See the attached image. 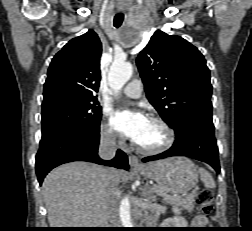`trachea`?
<instances>
[{
    "label": "trachea",
    "mask_w": 252,
    "mask_h": 231,
    "mask_svg": "<svg viewBox=\"0 0 252 231\" xmlns=\"http://www.w3.org/2000/svg\"><path fill=\"white\" fill-rule=\"evenodd\" d=\"M123 19H124V14L122 13L116 14L114 17V26L116 28H119L123 22Z\"/></svg>",
    "instance_id": "1"
}]
</instances>
